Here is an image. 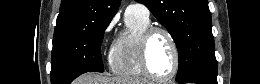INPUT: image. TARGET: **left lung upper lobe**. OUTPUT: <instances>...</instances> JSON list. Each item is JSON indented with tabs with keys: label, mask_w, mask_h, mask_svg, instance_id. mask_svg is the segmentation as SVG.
<instances>
[{
	"label": "left lung upper lobe",
	"mask_w": 260,
	"mask_h": 84,
	"mask_svg": "<svg viewBox=\"0 0 260 84\" xmlns=\"http://www.w3.org/2000/svg\"><path fill=\"white\" fill-rule=\"evenodd\" d=\"M143 3L174 39L179 68L176 81L217 77L211 13L207 0H136Z\"/></svg>",
	"instance_id": "left-lung-upper-lobe-1"
}]
</instances>
